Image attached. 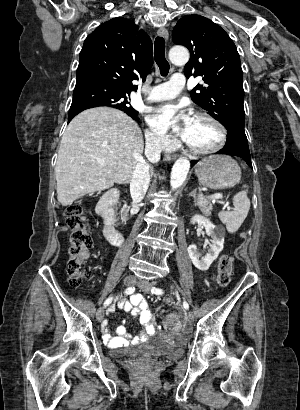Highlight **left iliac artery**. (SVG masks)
Masks as SVG:
<instances>
[{
    "mask_svg": "<svg viewBox=\"0 0 300 410\" xmlns=\"http://www.w3.org/2000/svg\"><path fill=\"white\" fill-rule=\"evenodd\" d=\"M151 292L154 293V294H156V295H161V294H163V290H162V289H159V288H156V287H152ZM183 307H184L185 309H189L188 303L184 301V302H183Z\"/></svg>",
    "mask_w": 300,
    "mask_h": 410,
    "instance_id": "obj_1",
    "label": "left iliac artery"
}]
</instances>
